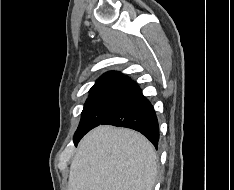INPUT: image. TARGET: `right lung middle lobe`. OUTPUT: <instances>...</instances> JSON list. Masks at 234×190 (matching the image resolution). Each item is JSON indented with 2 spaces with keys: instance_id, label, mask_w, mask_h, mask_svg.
I'll return each instance as SVG.
<instances>
[{
  "instance_id": "1",
  "label": "right lung middle lobe",
  "mask_w": 234,
  "mask_h": 190,
  "mask_svg": "<svg viewBox=\"0 0 234 190\" xmlns=\"http://www.w3.org/2000/svg\"><path fill=\"white\" fill-rule=\"evenodd\" d=\"M126 83L127 80H121L90 89L74 139L100 125L119 99Z\"/></svg>"
}]
</instances>
